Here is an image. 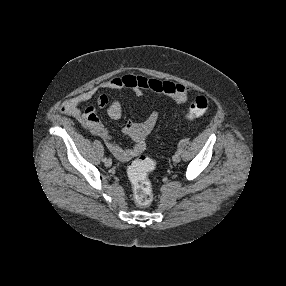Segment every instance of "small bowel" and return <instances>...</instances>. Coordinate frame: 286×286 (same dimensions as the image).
Listing matches in <instances>:
<instances>
[{
	"mask_svg": "<svg viewBox=\"0 0 286 286\" xmlns=\"http://www.w3.org/2000/svg\"><path fill=\"white\" fill-rule=\"evenodd\" d=\"M99 89L117 91L130 89L137 97H141L144 92L149 91L155 94H163L177 105L185 104L189 99V89L183 84L169 80L147 78L140 74L126 73L109 78L100 85L89 89L63 105V113L75 118L81 125L86 127L91 134L101 137L108 150L117 159L124 162L144 152L147 145V138L153 131L160 112L153 111L143 122L128 121L123 128V132L131 138L133 145L131 147H123L115 142L92 107L81 109V105L92 99ZM98 103L102 107H107V114L111 119L118 120L121 118L122 105L119 100H113L109 103L108 98L102 95L99 97Z\"/></svg>",
	"mask_w": 286,
	"mask_h": 286,
	"instance_id": "obj_1",
	"label": "small bowel"
}]
</instances>
